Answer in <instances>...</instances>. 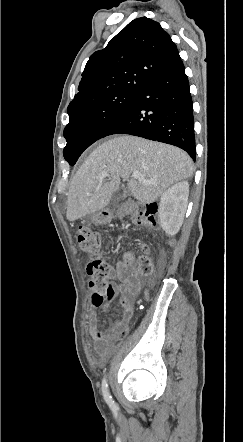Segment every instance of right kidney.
<instances>
[{
  "mask_svg": "<svg viewBox=\"0 0 243 442\" xmlns=\"http://www.w3.org/2000/svg\"><path fill=\"white\" fill-rule=\"evenodd\" d=\"M189 196V183L179 182L167 189L160 198L159 218L163 230L176 234L184 219Z\"/></svg>",
  "mask_w": 243,
  "mask_h": 442,
  "instance_id": "ca27d5eb",
  "label": "right kidney"
}]
</instances>
